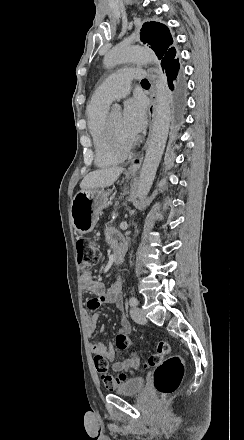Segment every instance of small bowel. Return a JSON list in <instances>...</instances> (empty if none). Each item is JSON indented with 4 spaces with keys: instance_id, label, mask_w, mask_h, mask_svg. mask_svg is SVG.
Listing matches in <instances>:
<instances>
[{
    "instance_id": "obj_1",
    "label": "small bowel",
    "mask_w": 244,
    "mask_h": 440,
    "mask_svg": "<svg viewBox=\"0 0 244 440\" xmlns=\"http://www.w3.org/2000/svg\"><path fill=\"white\" fill-rule=\"evenodd\" d=\"M107 240L113 247H116L121 241V235L113 229H109L107 231ZM80 281L82 288L92 295L87 303L90 309L97 310L102 304L110 302L116 303L119 307H122V284L119 278L116 279L111 284V286L107 288L104 283L95 280L92 273L88 271L82 272ZM98 319L99 316L97 313L87 317V332L89 334H93L97 329ZM121 322H123L125 325L124 332L129 334L130 323L128 319L126 317H123ZM99 331L104 332L105 327L101 325L99 327ZM89 347L92 353H105L107 357L106 359L112 363L113 369L117 372L125 371L130 368H136L139 364L136 363L134 360L135 355H132L122 360H118L116 357V348H113L112 344L106 345L101 342H90ZM118 349L123 350L126 348Z\"/></svg>"
}]
</instances>
